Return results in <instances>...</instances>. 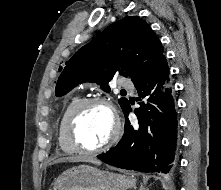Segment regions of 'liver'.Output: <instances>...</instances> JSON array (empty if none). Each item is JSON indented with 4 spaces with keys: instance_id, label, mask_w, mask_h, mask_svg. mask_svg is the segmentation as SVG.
Segmentation results:
<instances>
[{
    "instance_id": "1",
    "label": "liver",
    "mask_w": 221,
    "mask_h": 190,
    "mask_svg": "<svg viewBox=\"0 0 221 190\" xmlns=\"http://www.w3.org/2000/svg\"><path fill=\"white\" fill-rule=\"evenodd\" d=\"M63 162H90V163H93V164H97V165H100L101 162L97 159H95L94 157H91V156H70V157H63V158H60V159H57L56 161L53 162V164H56V163H63Z\"/></svg>"
}]
</instances>
